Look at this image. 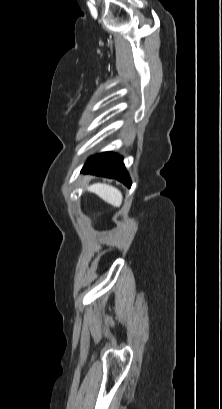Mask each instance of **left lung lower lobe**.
I'll list each match as a JSON object with an SVG mask.
<instances>
[{
  "label": "left lung lower lobe",
  "instance_id": "obj_1",
  "mask_svg": "<svg viewBox=\"0 0 222 409\" xmlns=\"http://www.w3.org/2000/svg\"><path fill=\"white\" fill-rule=\"evenodd\" d=\"M82 172L115 178L123 182L127 187L131 186V180L124 167L123 158L117 154L104 152L90 157L85 163Z\"/></svg>",
  "mask_w": 222,
  "mask_h": 409
}]
</instances>
